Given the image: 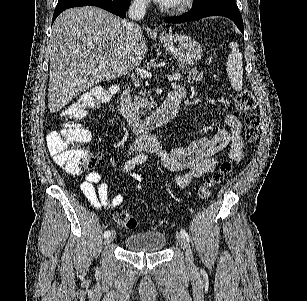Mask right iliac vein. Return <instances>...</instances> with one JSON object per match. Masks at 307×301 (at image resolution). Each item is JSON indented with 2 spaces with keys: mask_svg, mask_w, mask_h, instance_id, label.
<instances>
[{
  "mask_svg": "<svg viewBox=\"0 0 307 301\" xmlns=\"http://www.w3.org/2000/svg\"><path fill=\"white\" fill-rule=\"evenodd\" d=\"M115 237H116V232H115V230H112L111 232H110V235H108L107 237H106V239H105V245H108V244H110L114 239H115Z\"/></svg>",
  "mask_w": 307,
  "mask_h": 301,
  "instance_id": "63e3f726",
  "label": "right iliac vein"
}]
</instances>
